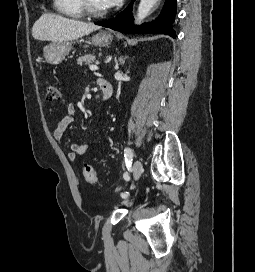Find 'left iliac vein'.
I'll use <instances>...</instances> for the list:
<instances>
[{"label": "left iliac vein", "mask_w": 255, "mask_h": 272, "mask_svg": "<svg viewBox=\"0 0 255 272\" xmlns=\"http://www.w3.org/2000/svg\"><path fill=\"white\" fill-rule=\"evenodd\" d=\"M143 172L142 163L139 160H136L133 165V177L135 180L139 179Z\"/></svg>", "instance_id": "1"}]
</instances>
